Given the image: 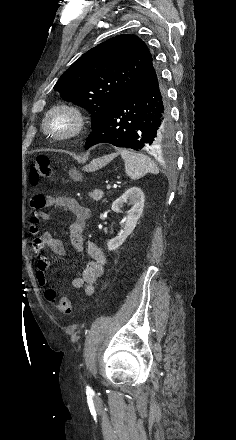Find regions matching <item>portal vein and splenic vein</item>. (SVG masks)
Returning <instances> with one entry per match:
<instances>
[{"label":"portal vein and splenic vein","mask_w":236,"mask_h":440,"mask_svg":"<svg viewBox=\"0 0 236 440\" xmlns=\"http://www.w3.org/2000/svg\"><path fill=\"white\" fill-rule=\"evenodd\" d=\"M107 189L108 190L111 189V185L110 184L107 185Z\"/></svg>","instance_id":"obj_1"}]
</instances>
